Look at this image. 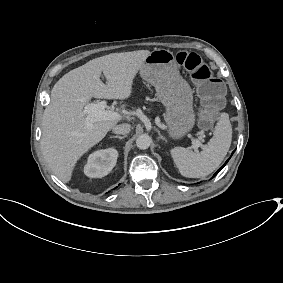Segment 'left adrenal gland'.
<instances>
[{"label": "left adrenal gland", "instance_id": "a2214340", "mask_svg": "<svg viewBox=\"0 0 283 283\" xmlns=\"http://www.w3.org/2000/svg\"><path fill=\"white\" fill-rule=\"evenodd\" d=\"M155 130L158 132V135H159V137H158V138H159V139H162V140H164V141H167V140H166V138H165L164 136H162V135H161V133H160V131H159V129H158V128H155Z\"/></svg>", "mask_w": 283, "mask_h": 283}]
</instances>
